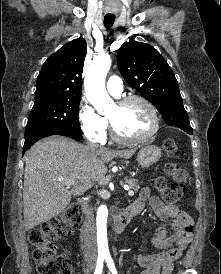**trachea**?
Returning <instances> with one entry per match:
<instances>
[{
    "label": "trachea",
    "instance_id": "1",
    "mask_svg": "<svg viewBox=\"0 0 221 274\" xmlns=\"http://www.w3.org/2000/svg\"><path fill=\"white\" fill-rule=\"evenodd\" d=\"M114 21H115V17L114 16H109V15H106L104 17V26L109 29L112 27V25L114 24Z\"/></svg>",
    "mask_w": 221,
    "mask_h": 274
}]
</instances>
